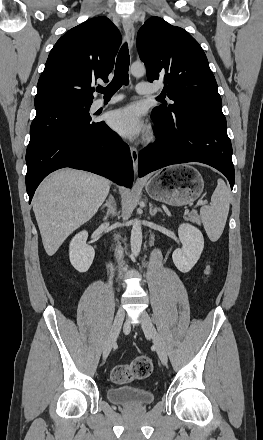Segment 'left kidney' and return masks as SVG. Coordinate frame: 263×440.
<instances>
[{"mask_svg":"<svg viewBox=\"0 0 263 440\" xmlns=\"http://www.w3.org/2000/svg\"><path fill=\"white\" fill-rule=\"evenodd\" d=\"M181 249H176L172 259L179 271L189 272L199 260L204 249V238L201 231L190 224L183 223L178 228Z\"/></svg>","mask_w":263,"mask_h":440,"instance_id":"1","label":"left kidney"}]
</instances>
